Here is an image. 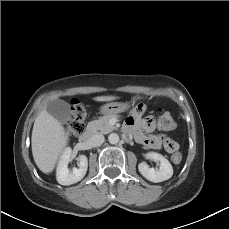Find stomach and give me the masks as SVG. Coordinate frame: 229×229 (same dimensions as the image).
Here are the masks:
<instances>
[{
	"label": "stomach",
	"instance_id": "1",
	"mask_svg": "<svg viewBox=\"0 0 229 229\" xmlns=\"http://www.w3.org/2000/svg\"><path fill=\"white\" fill-rule=\"evenodd\" d=\"M130 107L129 103L124 102H111L104 104L100 107L101 114L110 115V114H118L128 110Z\"/></svg>",
	"mask_w": 229,
	"mask_h": 229
}]
</instances>
